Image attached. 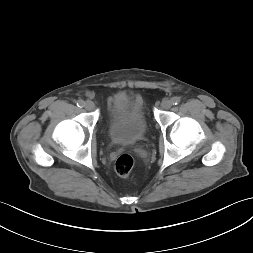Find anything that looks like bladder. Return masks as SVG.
<instances>
[{"label":"bladder","instance_id":"bladder-1","mask_svg":"<svg viewBox=\"0 0 253 253\" xmlns=\"http://www.w3.org/2000/svg\"><path fill=\"white\" fill-rule=\"evenodd\" d=\"M146 132L147 121L141 106L127 95L118 94L107 123L110 141L116 145H134L145 137Z\"/></svg>","mask_w":253,"mask_h":253}]
</instances>
